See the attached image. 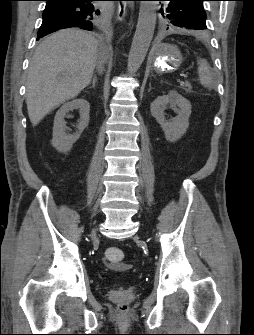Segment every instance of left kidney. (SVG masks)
<instances>
[{
  "label": "left kidney",
  "instance_id": "1",
  "mask_svg": "<svg viewBox=\"0 0 254 335\" xmlns=\"http://www.w3.org/2000/svg\"><path fill=\"white\" fill-rule=\"evenodd\" d=\"M170 105L178 106L177 116L171 120H166L164 110ZM191 103L177 91H170L167 95L157 97L150 105L151 115L161 125L166 140L175 142L180 139L189 127V117L191 115Z\"/></svg>",
  "mask_w": 254,
  "mask_h": 335
}]
</instances>
